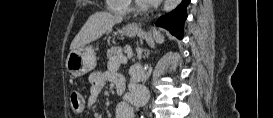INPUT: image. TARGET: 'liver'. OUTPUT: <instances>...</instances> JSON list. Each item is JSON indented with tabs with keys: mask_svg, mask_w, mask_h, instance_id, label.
I'll return each mask as SVG.
<instances>
[{
	"mask_svg": "<svg viewBox=\"0 0 273 118\" xmlns=\"http://www.w3.org/2000/svg\"><path fill=\"white\" fill-rule=\"evenodd\" d=\"M122 20V16L113 15L108 12H96L92 14L71 42V51L96 41L107 30L115 24L122 22Z\"/></svg>",
	"mask_w": 273,
	"mask_h": 118,
	"instance_id": "6515ba94",
	"label": "liver"
}]
</instances>
